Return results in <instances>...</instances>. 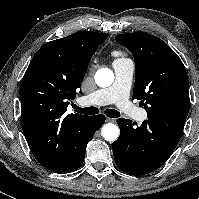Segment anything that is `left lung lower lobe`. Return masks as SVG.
I'll list each match as a JSON object with an SVG mask.
<instances>
[{
	"label": "left lung lower lobe",
	"instance_id": "0a47b994",
	"mask_svg": "<svg viewBox=\"0 0 199 199\" xmlns=\"http://www.w3.org/2000/svg\"><path fill=\"white\" fill-rule=\"evenodd\" d=\"M119 138L112 150L117 166L125 173L144 175L161 167L174 152L183 130L148 118L139 127L119 118Z\"/></svg>",
	"mask_w": 199,
	"mask_h": 199
}]
</instances>
